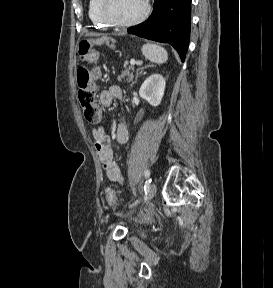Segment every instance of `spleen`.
<instances>
[{"label": "spleen", "instance_id": "obj_1", "mask_svg": "<svg viewBox=\"0 0 273 288\" xmlns=\"http://www.w3.org/2000/svg\"><path fill=\"white\" fill-rule=\"evenodd\" d=\"M142 52L148 60L157 64H163L168 59L166 50L156 44L148 43L143 45Z\"/></svg>", "mask_w": 273, "mask_h": 288}]
</instances>
